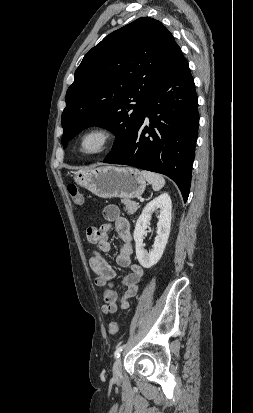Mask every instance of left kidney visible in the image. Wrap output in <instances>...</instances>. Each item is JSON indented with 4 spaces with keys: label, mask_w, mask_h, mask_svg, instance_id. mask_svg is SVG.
Here are the masks:
<instances>
[{
    "label": "left kidney",
    "mask_w": 253,
    "mask_h": 413,
    "mask_svg": "<svg viewBox=\"0 0 253 413\" xmlns=\"http://www.w3.org/2000/svg\"><path fill=\"white\" fill-rule=\"evenodd\" d=\"M157 209H160L159 221L157 223V236L152 249L147 252L144 249L143 235L147 229V224L152 213ZM171 209V198L169 194L163 193L145 206L136 222L133 234L136 243V256L144 268H150L155 265L163 255L170 234Z\"/></svg>",
    "instance_id": "left-kidney-1"
}]
</instances>
